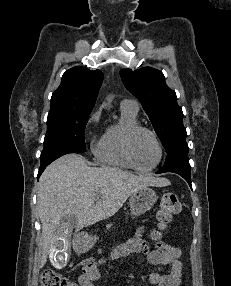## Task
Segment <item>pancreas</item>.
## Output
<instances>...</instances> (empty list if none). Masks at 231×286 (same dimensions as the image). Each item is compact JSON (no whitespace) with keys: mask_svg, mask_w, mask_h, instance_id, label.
<instances>
[{"mask_svg":"<svg viewBox=\"0 0 231 286\" xmlns=\"http://www.w3.org/2000/svg\"><path fill=\"white\" fill-rule=\"evenodd\" d=\"M111 227H112V224H111V223L108 224V225H107V230H110Z\"/></svg>","mask_w":231,"mask_h":286,"instance_id":"pancreas-1","label":"pancreas"}]
</instances>
